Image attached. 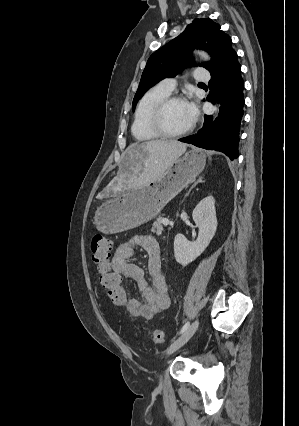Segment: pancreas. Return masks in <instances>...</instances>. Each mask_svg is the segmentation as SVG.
Wrapping results in <instances>:
<instances>
[{
    "label": "pancreas",
    "instance_id": "obj_1",
    "mask_svg": "<svg viewBox=\"0 0 299 426\" xmlns=\"http://www.w3.org/2000/svg\"><path fill=\"white\" fill-rule=\"evenodd\" d=\"M163 219L164 218L162 216H159L152 225V232H155L157 235H161L162 231H164V227L162 225Z\"/></svg>",
    "mask_w": 299,
    "mask_h": 426
}]
</instances>
